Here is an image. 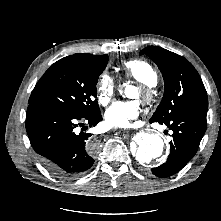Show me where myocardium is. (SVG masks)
Returning <instances> with one entry per match:
<instances>
[{
	"mask_svg": "<svg viewBox=\"0 0 221 221\" xmlns=\"http://www.w3.org/2000/svg\"><path fill=\"white\" fill-rule=\"evenodd\" d=\"M137 90H138V96L142 101L150 102L152 100L154 94L150 86L140 84Z\"/></svg>",
	"mask_w": 221,
	"mask_h": 221,
	"instance_id": "myocardium-1",
	"label": "myocardium"
}]
</instances>
